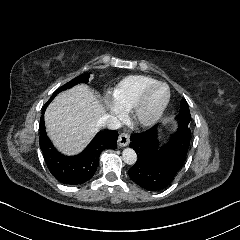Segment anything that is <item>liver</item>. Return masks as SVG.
<instances>
[{"instance_id":"obj_1","label":"liver","mask_w":240,"mask_h":240,"mask_svg":"<svg viewBox=\"0 0 240 240\" xmlns=\"http://www.w3.org/2000/svg\"><path fill=\"white\" fill-rule=\"evenodd\" d=\"M106 110L98 95L80 84L59 93L45 112L46 131L63 154L80 153L99 131L97 125Z\"/></svg>"}]
</instances>
